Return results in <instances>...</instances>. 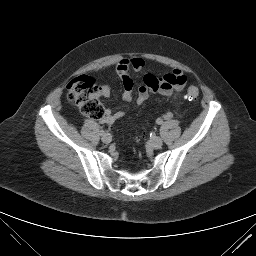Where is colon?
Wrapping results in <instances>:
<instances>
[{
	"mask_svg": "<svg viewBox=\"0 0 256 256\" xmlns=\"http://www.w3.org/2000/svg\"><path fill=\"white\" fill-rule=\"evenodd\" d=\"M67 98L75 103L81 113L92 119H102L105 115L104 107L99 101L100 88L96 81L86 75L73 78L66 86ZM199 90L190 86L187 90V98L196 99Z\"/></svg>",
	"mask_w": 256,
	"mask_h": 256,
	"instance_id": "colon-1",
	"label": "colon"
}]
</instances>
